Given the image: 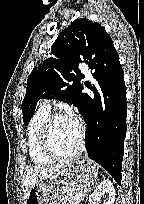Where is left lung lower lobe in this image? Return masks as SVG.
<instances>
[{"mask_svg":"<svg viewBox=\"0 0 144 204\" xmlns=\"http://www.w3.org/2000/svg\"><path fill=\"white\" fill-rule=\"evenodd\" d=\"M93 96L83 94L82 116L87 124L88 157L121 182L124 139L126 136V87L119 59L107 71L90 67Z\"/></svg>","mask_w":144,"mask_h":204,"instance_id":"0a47b994","label":"left lung lower lobe"}]
</instances>
